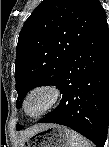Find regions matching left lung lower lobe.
<instances>
[{"mask_svg":"<svg viewBox=\"0 0 109 147\" xmlns=\"http://www.w3.org/2000/svg\"><path fill=\"white\" fill-rule=\"evenodd\" d=\"M62 100L38 123L72 128L104 147L109 120V28L106 14L67 61L58 84Z\"/></svg>","mask_w":109,"mask_h":147,"instance_id":"left-lung-lower-lobe-1","label":"left lung lower lobe"}]
</instances>
